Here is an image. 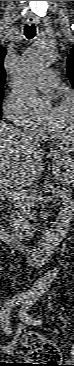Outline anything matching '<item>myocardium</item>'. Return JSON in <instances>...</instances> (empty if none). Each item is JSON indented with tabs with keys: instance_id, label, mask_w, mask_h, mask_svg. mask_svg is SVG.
Wrapping results in <instances>:
<instances>
[{
	"instance_id": "myocardium-1",
	"label": "myocardium",
	"mask_w": 74,
	"mask_h": 366,
	"mask_svg": "<svg viewBox=\"0 0 74 366\" xmlns=\"http://www.w3.org/2000/svg\"><path fill=\"white\" fill-rule=\"evenodd\" d=\"M61 105H67L71 109L73 135L71 137H60L52 132H49L48 134L51 139L57 143H61L63 145H74V101L70 97H67L61 101Z\"/></svg>"
}]
</instances>
